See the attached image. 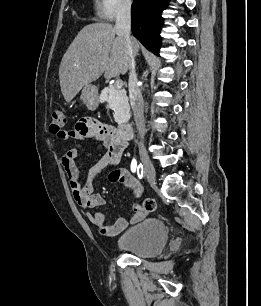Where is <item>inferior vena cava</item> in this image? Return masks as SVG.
Returning <instances> with one entry per match:
<instances>
[{"label": "inferior vena cava", "mask_w": 261, "mask_h": 306, "mask_svg": "<svg viewBox=\"0 0 261 306\" xmlns=\"http://www.w3.org/2000/svg\"><path fill=\"white\" fill-rule=\"evenodd\" d=\"M115 30L118 36L124 38L128 54L131 58L128 81L130 104L133 110L137 130L141 135H144V101L141 90L138 86L137 75L135 72L134 54L131 46V2L129 0H124L118 7Z\"/></svg>", "instance_id": "obj_1"}]
</instances>
